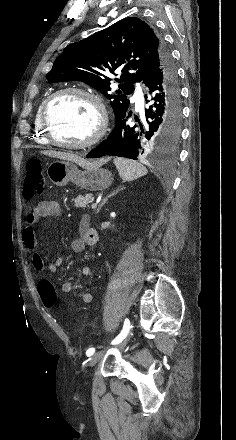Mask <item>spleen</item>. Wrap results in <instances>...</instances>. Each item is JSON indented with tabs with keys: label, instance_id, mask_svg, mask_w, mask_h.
Segmentation results:
<instances>
[{
	"label": "spleen",
	"instance_id": "3e777b00",
	"mask_svg": "<svg viewBox=\"0 0 236 440\" xmlns=\"http://www.w3.org/2000/svg\"><path fill=\"white\" fill-rule=\"evenodd\" d=\"M114 164L124 181H132L148 173L144 165L131 159L116 157Z\"/></svg>",
	"mask_w": 236,
	"mask_h": 440
}]
</instances>
